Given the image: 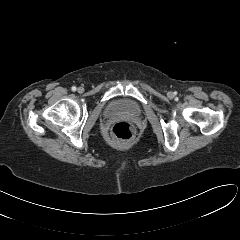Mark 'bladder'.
<instances>
[{
	"label": "bladder",
	"instance_id": "1",
	"mask_svg": "<svg viewBox=\"0 0 240 240\" xmlns=\"http://www.w3.org/2000/svg\"><path fill=\"white\" fill-rule=\"evenodd\" d=\"M141 109L139 105L131 100L118 99L109 103L106 108L105 114L107 116H136L139 115Z\"/></svg>",
	"mask_w": 240,
	"mask_h": 240
}]
</instances>
